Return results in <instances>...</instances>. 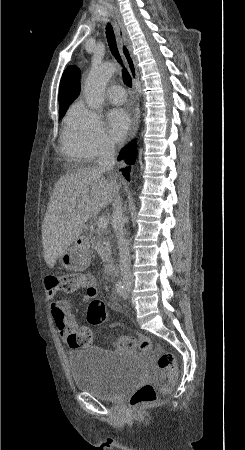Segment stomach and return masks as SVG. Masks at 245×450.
Masks as SVG:
<instances>
[{"instance_id":"0dacf381","label":"stomach","mask_w":245,"mask_h":450,"mask_svg":"<svg viewBox=\"0 0 245 450\" xmlns=\"http://www.w3.org/2000/svg\"><path fill=\"white\" fill-rule=\"evenodd\" d=\"M59 261L68 270L82 271L87 268L90 257L87 249L75 242L60 256Z\"/></svg>"}]
</instances>
